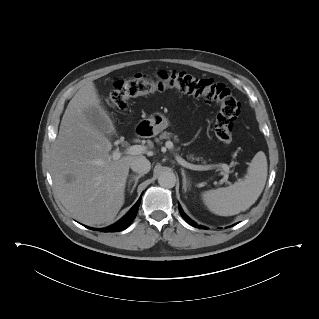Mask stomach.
Listing matches in <instances>:
<instances>
[{
	"label": "stomach",
	"instance_id": "obj_1",
	"mask_svg": "<svg viewBox=\"0 0 319 319\" xmlns=\"http://www.w3.org/2000/svg\"><path fill=\"white\" fill-rule=\"evenodd\" d=\"M146 121L153 135H157L169 126L168 119L159 112L151 114Z\"/></svg>",
	"mask_w": 319,
	"mask_h": 319
}]
</instances>
